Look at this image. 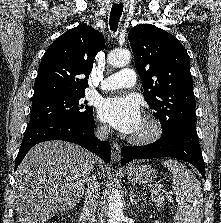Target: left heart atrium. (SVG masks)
I'll return each instance as SVG.
<instances>
[{
    "mask_svg": "<svg viewBox=\"0 0 221 223\" xmlns=\"http://www.w3.org/2000/svg\"><path fill=\"white\" fill-rule=\"evenodd\" d=\"M98 117L123 134H134L143 119L138 101L132 96H111L98 107Z\"/></svg>",
    "mask_w": 221,
    "mask_h": 223,
    "instance_id": "obj_1",
    "label": "left heart atrium"
}]
</instances>
